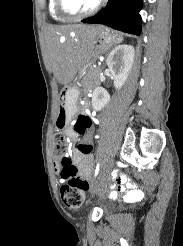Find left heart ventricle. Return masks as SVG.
I'll use <instances>...</instances> for the list:
<instances>
[{
  "label": "left heart ventricle",
  "mask_w": 183,
  "mask_h": 246,
  "mask_svg": "<svg viewBox=\"0 0 183 246\" xmlns=\"http://www.w3.org/2000/svg\"><path fill=\"white\" fill-rule=\"evenodd\" d=\"M98 0H65L67 9L73 13H82L91 9Z\"/></svg>",
  "instance_id": "1"
}]
</instances>
